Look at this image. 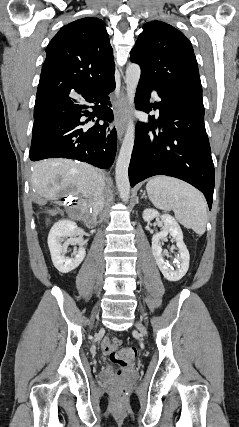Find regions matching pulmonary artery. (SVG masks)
<instances>
[{
    "instance_id": "1",
    "label": "pulmonary artery",
    "mask_w": 239,
    "mask_h": 427,
    "mask_svg": "<svg viewBox=\"0 0 239 427\" xmlns=\"http://www.w3.org/2000/svg\"><path fill=\"white\" fill-rule=\"evenodd\" d=\"M153 94H154V96H155L156 100H158V101H159V97H158L157 93H156L155 91H153Z\"/></svg>"
}]
</instances>
